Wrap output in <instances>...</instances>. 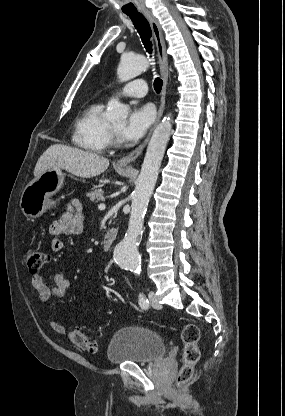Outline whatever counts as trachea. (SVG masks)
<instances>
[{
	"label": "trachea",
	"mask_w": 285,
	"mask_h": 416,
	"mask_svg": "<svg viewBox=\"0 0 285 416\" xmlns=\"http://www.w3.org/2000/svg\"><path fill=\"white\" fill-rule=\"evenodd\" d=\"M126 15H128L131 18L133 25L135 26L141 37L146 51L148 53H152V31L146 18L142 15V13H127ZM162 86L163 81L161 80V78H156L154 80V90L156 91V93H160Z\"/></svg>",
	"instance_id": "3493384b"
}]
</instances>
